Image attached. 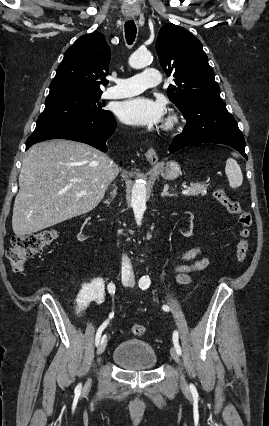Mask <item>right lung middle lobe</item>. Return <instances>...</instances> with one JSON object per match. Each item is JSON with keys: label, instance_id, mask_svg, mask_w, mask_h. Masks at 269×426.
Masks as SVG:
<instances>
[{"label": "right lung middle lobe", "instance_id": "1", "mask_svg": "<svg viewBox=\"0 0 269 426\" xmlns=\"http://www.w3.org/2000/svg\"><path fill=\"white\" fill-rule=\"evenodd\" d=\"M101 94L72 89L50 92L32 135L71 122L102 116L107 110L102 109L105 104L99 102Z\"/></svg>", "mask_w": 269, "mask_h": 426}]
</instances>
